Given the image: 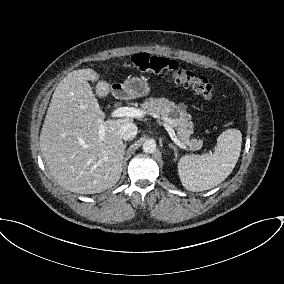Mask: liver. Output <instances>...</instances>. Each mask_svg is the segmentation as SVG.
I'll return each instance as SVG.
<instances>
[{
	"label": "liver",
	"mask_w": 284,
	"mask_h": 284,
	"mask_svg": "<svg viewBox=\"0 0 284 284\" xmlns=\"http://www.w3.org/2000/svg\"><path fill=\"white\" fill-rule=\"evenodd\" d=\"M91 68L74 70L56 87L40 133V148L54 179L65 189L95 194L113 187L120 179L125 153L120 127L130 117L104 119L89 80L98 81ZM110 85L98 81L99 97ZM105 127L103 140L99 128Z\"/></svg>",
	"instance_id": "liver-1"
}]
</instances>
